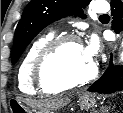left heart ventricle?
<instances>
[{"mask_svg":"<svg viewBox=\"0 0 123 113\" xmlns=\"http://www.w3.org/2000/svg\"><path fill=\"white\" fill-rule=\"evenodd\" d=\"M92 64V61L86 57L81 44L69 43L52 59L49 72L55 79L69 82L88 75Z\"/></svg>","mask_w":123,"mask_h":113,"instance_id":"1","label":"left heart ventricle"}]
</instances>
